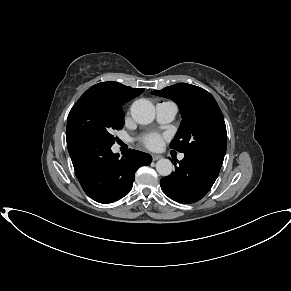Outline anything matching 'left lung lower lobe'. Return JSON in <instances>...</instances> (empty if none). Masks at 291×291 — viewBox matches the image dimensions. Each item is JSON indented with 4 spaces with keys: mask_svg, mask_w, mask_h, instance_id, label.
Segmentation results:
<instances>
[{
    "mask_svg": "<svg viewBox=\"0 0 291 291\" xmlns=\"http://www.w3.org/2000/svg\"><path fill=\"white\" fill-rule=\"evenodd\" d=\"M224 158L185 154L175 172L160 180L163 192L171 199L188 204L203 198L218 177Z\"/></svg>",
    "mask_w": 291,
    "mask_h": 291,
    "instance_id": "obj_1",
    "label": "left lung lower lobe"
}]
</instances>
